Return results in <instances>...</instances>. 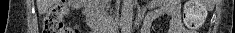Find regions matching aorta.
Instances as JSON below:
<instances>
[{"instance_id": "obj_1", "label": "aorta", "mask_w": 235, "mask_h": 33, "mask_svg": "<svg viewBox=\"0 0 235 33\" xmlns=\"http://www.w3.org/2000/svg\"><path fill=\"white\" fill-rule=\"evenodd\" d=\"M134 0H123L122 10H121V25L122 30L126 31L130 28L133 18V6Z\"/></svg>"}]
</instances>
